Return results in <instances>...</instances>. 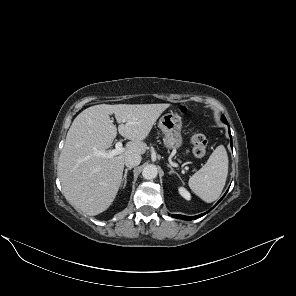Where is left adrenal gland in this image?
I'll use <instances>...</instances> for the list:
<instances>
[{
    "mask_svg": "<svg viewBox=\"0 0 296 296\" xmlns=\"http://www.w3.org/2000/svg\"><path fill=\"white\" fill-rule=\"evenodd\" d=\"M167 166L170 168L169 174H176L179 179H181L180 175L171 167V165L167 164Z\"/></svg>",
    "mask_w": 296,
    "mask_h": 296,
    "instance_id": "obj_1",
    "label": "left adrenal gland"
}]
</instances>
